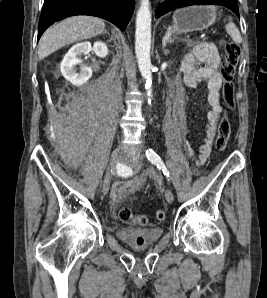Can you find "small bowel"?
<instances>
[{
    "label": "small bowel",
    "instance_id": "obj_1",
    "mask_svg": "<svg viewBox=\"0 0 267 298\" xmlns=\"http://www.w3.org/2000/svg\"><path fill=\"white\" fill-rule=\"evenodd\" d=\"M220 56L217 47L213 43L197 45L191 53H188L181 64L184 74V83L187 87L195 88L200 82H206L208 88L207 103L210 108L206 125V134L196 156L198 165H203L212 151V144L216 135L217 124L222 112L220 103V89L222 77L218 71ZM181 110H178V114ZM136 183L133 184L135 186Z\"/></svg>",
    "mask_w": 267,
    "mask_h": 298
}]
</instances>
